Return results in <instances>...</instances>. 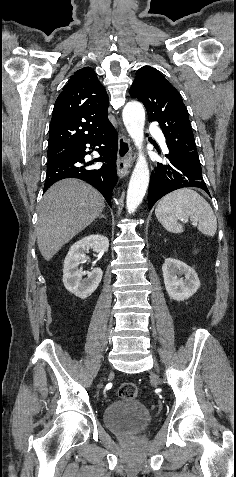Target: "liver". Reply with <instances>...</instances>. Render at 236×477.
I'll return each instance as SVG.
<instances>
[{"mask_svg": "<svg viewBox=\"0 0 236 477\" xmlns=\"http://www.w3.org/2000/svg\"><path fill=\"white\" fill-rule=\"evenodd\" d=\"M104 208L103 196L85 182L65 179L52 185L38 206L37 243L43 258L51 260Z\"/></svg>", "mask_w": 236, "mask_h": 477, "instance_id": "obj_1", "label": "liver"}]
</instances>
